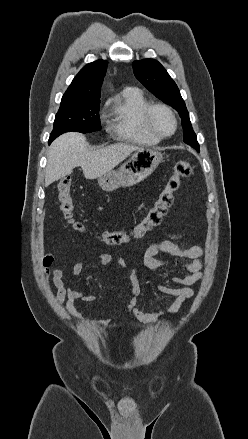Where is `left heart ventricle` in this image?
I'll use <instances>...</instances> for the list:
<instances>
[{"instance_id": "left-heart-ventricle-1", "label": "left heart ventricle", "mask_w": 248, "mask_h": 439, "mask_svg": "<svg viewBox=\"0 0 248 439\" xmlns=\"http://www.w3.org/2000/svg\"><path fill=\"white\" fill-rule=\"evenodd\" d=\"M153 123L158 131L169 134L173 130V121L170 115L163 109H156L153 113Z\"/></svg>"}]
</instances>
